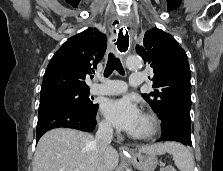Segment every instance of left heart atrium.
I'll use <instances>...</instances> for the list:
<instances>
[{
    "label": "left heart atrium",
    "instance_id": "1",
    "mask_svg": "<svg viewBox=\"0 0 223 171\" xmlns=\"http://www.w3.org/2000/svg\"><path fill=\"white\" fill-rule=\"evenodd\" d=\"M101 111L115 128L128 133H132L141 118L136 103L130 97L108 99L102 104Z\"/></svg>",
    "mask_w": 223,
    "mask_h": 171
}]
</instances>
